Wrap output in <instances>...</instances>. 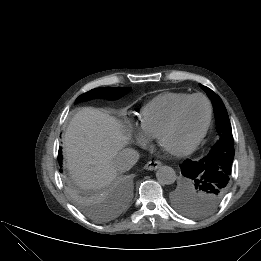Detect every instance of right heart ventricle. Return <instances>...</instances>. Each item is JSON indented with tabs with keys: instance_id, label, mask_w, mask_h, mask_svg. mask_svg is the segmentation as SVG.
<instances>
[{
	"instance_id": "obj_1",
	"label": "right heart ventricle",
	"mask_w": 261,
	"mask_h": 261,
	"mask_svg": "<svg viewBox=\"0 0 261 261\" xmlns=\"http://www.w3.org/2000/svg\"><path fill=\"white\" fill-rule=\"evenodd\" d=\"M189 96L179 92H165L156 96L141 109L140 131L149 138H156L173 110Z\"/></svg>"
}]
</instances>
